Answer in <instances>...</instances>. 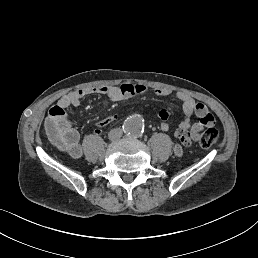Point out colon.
I'll use <instances>...</instances> for the list:
<instances>
[{"label": "colon", "mask_w": 258, "mask_h": 258, "mask_svg": "<svg viewBox=\"0 0 258 258\" xmlns=\"http://www.w3.org/2000/svg\"><path fill=\"white\" fill-rule=\"evenodd\" d=\"M218 140V131L215 128H209L200 137L199 143L203 148L212 147Z\"/></svg>", "instance_id": "obj_1"}]
</instances>
